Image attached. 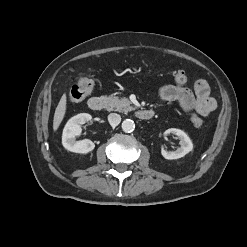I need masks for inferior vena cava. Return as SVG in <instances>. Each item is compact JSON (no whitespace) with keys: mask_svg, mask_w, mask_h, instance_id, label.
Returning <instances> with one entry per match:
<instances>
[{"mask_svg":"<svg viewBox=\"0 0 247 247\" xmlns=\"http://www.w3.org/2000/svg\"><path fill=\"white\" fill-rule=\"evenodd\" d=\"M108 121L111 126H117L121 122V116L117 113H110L108 115Z\"/></svg>","mask_w":247,"mask_h":247,"instance_id":"602c4592","label":"inferior vena cava"}]
</instances>
